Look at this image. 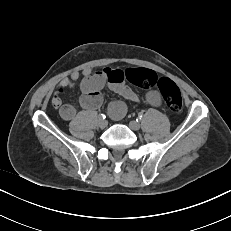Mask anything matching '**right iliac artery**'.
I'll return each instance as SVG.
<instances>
[{"label": "right iliac artery", "mask_w": 231, "mask_h": 231, "mask_svg": "<svg viewBox=\"0 0 231 231\" xmlns=\"http://www.w3.org/2000/svg\"><path fill=\"white\" fill-rule=\"evenodd\" d=\"M99 118L105 119L106 116H105L104 114H100V115H99Z\"/></svg>", "instance_id": "1"}]
</instances>
